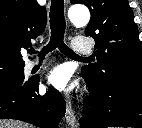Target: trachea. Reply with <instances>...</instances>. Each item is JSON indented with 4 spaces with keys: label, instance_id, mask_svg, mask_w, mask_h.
Wrapping results in <instances>:
<instances>
[{
    "label": "trachea",
    "instance_id": "obj_1",
    "mask_svg": "<svg viewBox=\"0 0 142 128\" xmlns=\"http://www.w3.org/2000/svg\"><path fill=\"white\" fill-rule=\"evenodd\" d=\"M50 17V29H51V38L50 42L38 53L39 57L43 58L45 54L53 51L55 48H58L65 55L89 59L78 56L74 53L63 41L65 33V18H64V0H51V9L49 13ZM30 54L35 53L34 49H29Z\"/></svg>",
    "mask_w": 142,
    "mask_h": 128
}]
</instances>
